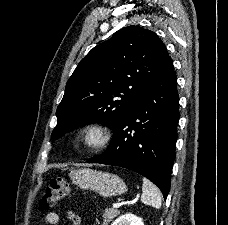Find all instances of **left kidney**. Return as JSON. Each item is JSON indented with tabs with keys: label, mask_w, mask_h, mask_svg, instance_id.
Wrapping results in <instances>:
<instances>
[{
	"label": "left kidney",
	"mask_w": 228,
	"mask_h": 225,
	"mask_svg": "<svg viewBox=\"0 0 228 225\" xmlns=\"http://www.w3.org/2000/svg\"><path fill=\"white\" fill-rule=\"evenodd\" d=\"M113 225H143V221L136 215H132V213H126V215H121L119 219H116Z\"/></svg>",
	"instance_id": "left-kidney-1"
}]
</instances>
